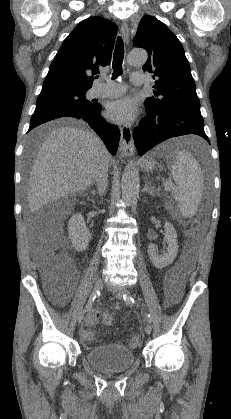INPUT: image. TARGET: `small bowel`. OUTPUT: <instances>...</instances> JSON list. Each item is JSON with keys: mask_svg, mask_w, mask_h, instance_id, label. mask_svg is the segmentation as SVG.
Instances as JSON below:
<instances>
[{"mask_svg": "<svg viewBox=\"0 0 231 419\" xmlns=\"http://www.w3.org/2000/svg\"><path fill=\"white\" fill-rule=\"evenodd\" d=\"M75 282L74 278L70 281L69 287L72 286ZM166 288V300L165 304L167 307H171L177 303L180 297V289L178 287L177 280L173 277L167 278L165 280ZM100 312L98 310H92L87 316L84 326L80 331L82 341L85 345H88L94 338V332L91 330V327L96 325L99 321Z\"/></svg>", "mask_w": 231, "mask_h": 419, "instance_id": "obj_1", "label": "small bowel"}]
</instances>
